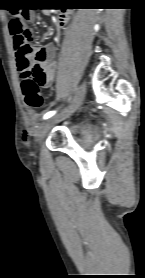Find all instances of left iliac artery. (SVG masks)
<instances>
[{
	"mask_svg": "<svg viewBox=\"0 0 145 278\" xmlns=\"http://www.w3.org/2000/svg\"><path fill=\"white\" fill-rule=\"evenodd\" d=\"M55 113H56V111H49L43 116V119H48V118L52 117Z\"/></svg>",
	"mask_w": 145,
	"mask_h": 278,
	"instance_id": "left-iliac-artery-1",
	"label": "left iliac artery"
}]
</instances>
